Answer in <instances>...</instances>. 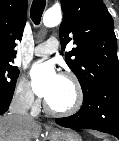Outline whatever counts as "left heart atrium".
Wrapping results in <instances>:
<instances>
[{
	"label": "left heart atrium",
	"instance_id": "39dd6f15",
	"mask_svg": "<svg viewBox=\"0 0 119 141\" xmlns=\"http://www.w3.org/2000/svg\"><path fill=\"white\" fill-rule=\"evenodd\" d=\"M60 75L52 62L35 64L31 70V79L35 92L47 99L54 91Z\"/></svg>",
	"mask_w": 119,
	"mask_h": 141
}]
</instances>
